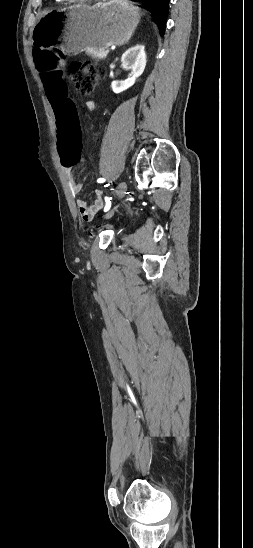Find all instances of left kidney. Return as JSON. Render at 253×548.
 <instances>
[{
	"label": "left kidney",
	"instance_id": "obj_1",
	"mask_svg": "<svg viewBox=\"0 0 253 548\" xmlns=\"http://www.w3.org/2000/svg\"><path fill=\"white\" fill-rule=\"evenodd\" d=\"M121 62L125 67L131 70V74L124 81H112L111 88L116 94L133 86L136 79L144 72L146 66L145 46L138 44L128 49L122 55Z\"/></svg>",
	"mask_w": 253,
	"mask_h": 548
}]
</instances>
